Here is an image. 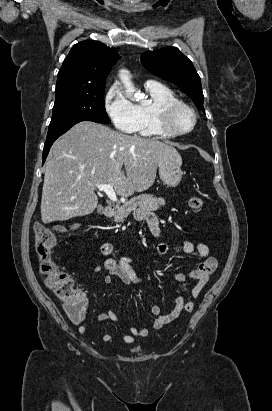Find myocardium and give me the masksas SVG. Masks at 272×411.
Masks as SVG:
<instances>
[{
	"label": "myocardium",
	"instance_id": "obj_1",
	"mask_svg": "<svg viewBox=\"0 0 272 411\" xmlns=\"http://www.w3.org/2000/svg\"><path fill=\"white\" fill-rule=\"evenodd\" d=\"M180 110H186L192 116V122L190 126L183 130H178L173 125V117ZM155 114L159 129L167 137H179L187 135L195 128L197 124V113L190 105L181 100L170 101L160 105L156 109Z\"/></svg>",
	"mask_w": 272,
	"mask_h": 411
}]
</instances>
